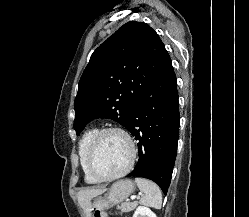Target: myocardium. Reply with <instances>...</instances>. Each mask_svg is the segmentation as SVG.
Masks as SVG:
<instances>
[{"label": "myocardium", "mask_w": 249, "mask_h": 217, "mask_svg": "<svg viewBox=\"0 0 249 217\" xmlns=\"http://www.w3.org/2000/svg\"><path fill=\"white\" fill-rule=\"evenodd\" d=\"M109 133H118L127 140L129 147H130V159L128 161V164L125 166V168L122 169L120 172L115 173L110 176H101L95 172L92 162H93V157H94L96 148L100 140ZM136 157H137V147L131 135L124 129H121L118 127H109V128H104V129L99 130L98 133L93 138V140L91 141L88 152H87V156H86V167H87L89 174L95 180L99 182H108V181H112V180L118 179L126 175L133 168L136 162Z\"/></svg>", "instance_id": "obj_1"}]
</instances>
